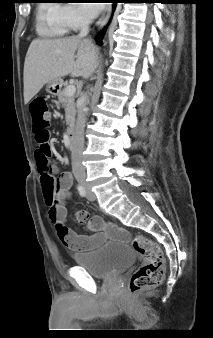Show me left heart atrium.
Listing matches in <instances>:
<instances>
[{"instance_id":"39dd6f15","label":"left heart atrium","mask_w":213,"mask_h":338,"mask_svg":"<svg viewBox=\"0 0 213 338\" xmlns=\"http://www.w3.org/2000/svg\"><path fill=\"white\" fill-rule=\"evenodd\" d=\"M88 2L92 0H87ZM84 11L89 17H95L101 10L100 3H83L82 4Z\"/></svg>"}]
</instances>
